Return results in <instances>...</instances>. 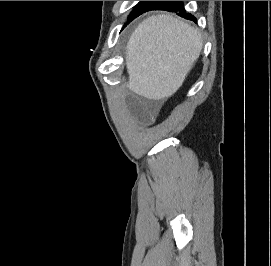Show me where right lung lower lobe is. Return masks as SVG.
Returning <instances> with one entry per match:
<instances>
[{"label": "right lung lower lobe", "instance_id": "1", "mask_svg": "<svg viewBox=\"0 0 271 266\" xmlns=\"http://www.w3.org/2000/svg\"><path fill=\"white\" fill-rule=\"evenodd\" d=\"M151 10H166L171 12H176L178 15L196 22V19L191 14L186 13L184 5L180 1H161Z\"/></svg>", "mask_w": 271, "mask_h": 266}]
</instances>
